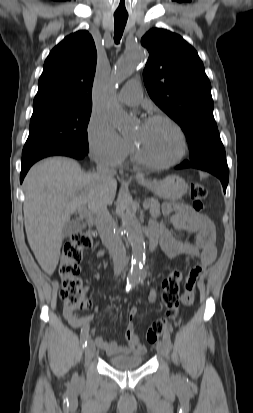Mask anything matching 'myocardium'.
<instances>
[{
    "label": "myocardium",
    "instance_id": "myocardium-1",
    "mask_svg": "<svg viewBox=\"0 0 253 413\" xmlns=\"http://www.w3.org/2000/svg\"><path fill=\"white\" fill-rule=\"evenodd\" d=\"M154 121H164L168 123L174 129V131L176 132L179 138V142H180V147H179V151L177 155L173 159L166 161V162L152 161L148 159L147 157H145L140 151V149L138 148V146L134 142H132L131 144H132V150H133L134 156L141 164L146 165L148 167H152L156 169L170 168L178 164L186 155L187 139H186L185 133L180 127V125L174 119H172L170 116L165 115V114H153L145 118L143 123H150Z\"/></svg>",
    "mask_w": 253,
    "mask_h": 413
}]
</instances>
